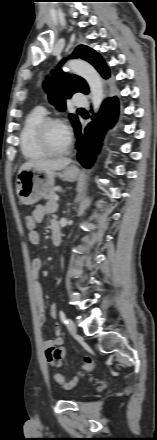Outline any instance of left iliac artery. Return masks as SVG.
<instances>
[{
    "instance_id": "1",
    "label": "left iliac artery",
    "mask_w": 157,
    "mask_h": 440,
    "mask_svg": "<svg viewBox=\"0 0 157 440\" xmlns=\"http://www.w3.org/2000/svg\"><path fill=\"white\" fill-rule=\"evenodd\" d=\"M59 316L63 324H68V320L63 310H60Z\"/></svg>"
}]
</instances>
